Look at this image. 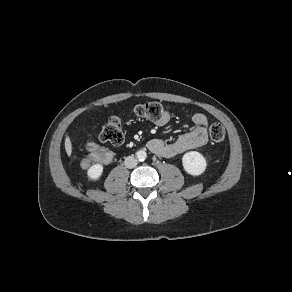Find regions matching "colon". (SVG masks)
Segmentation results:
<instances>
[{"instance_id":"colon-1","label":"colon","mask_w":292,"mask_h":292,"mask_svg":"<svg viewBox=\"0 0 292 292\" xmlns=\"http://www.w3.org/2000/svg\"><path fill=\"white\" fill-rule=\"evenodd\" d=\"M134 115L139 119L160 121L168 115V109L159 102H147L138 104L134 108ZM210 138L214 142H221L225 138V128L220 123H213L209 128ZM99 140L113 145H119L124 141V132L122 122L118 117H111L99 134ZM98 143L94 139H89L86 143V149L93 154V159L101 163H108L112 159V153L103 150L97 154Z\"/></svg>"}]
</instances>
